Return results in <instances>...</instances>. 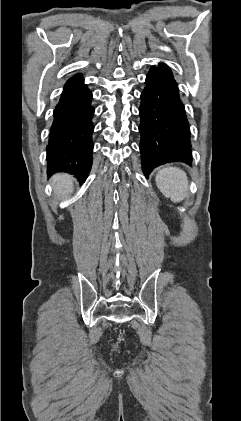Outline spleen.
Instances as JSON below:
<instances>
[{
  "mask_svg": "<svg viewBox=\"0 0 241 421\" xmlns=\"http://www.w3.org/2000/svg\"><path fill=\"white\" fill-rule=\"evenodd\" d=\"M155 181L162 194L174 203L181 202L188 196V178L180 168L165 167L160 169Z\"/></svg>",
  "mask_w": 241,
  "mask_h": 421,
  "instance_id": "spleen-1",
  "label": "spleen"
}]
</instances>
